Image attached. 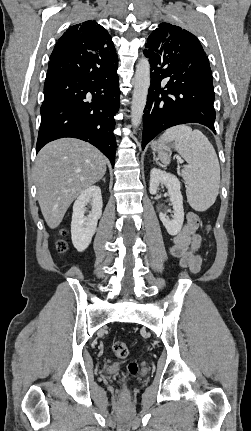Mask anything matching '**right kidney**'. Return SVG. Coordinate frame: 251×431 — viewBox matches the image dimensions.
I'll use <instances>...</instances> for the list:
<instances>
[{
	"instance_id": "ca27d5eb",
	"label": "right kidney",
	"mask_w": 251,
	"mask_h": 431,
	"mask_svg": "<svg viewBox=\"0 0 251 431\" xmlns=\"http://www.w3.org/2000/svg\"><path fill=\"white\" fill-rule=\"evenodd\" d=\"M91 204V212L85 216L86 205ZM102 196L99 186L85 189L73 205L71 235L74 247L83 252L91 243L97 222L102 215Z\"/></svg>"
}]
</instances>
